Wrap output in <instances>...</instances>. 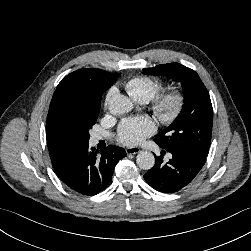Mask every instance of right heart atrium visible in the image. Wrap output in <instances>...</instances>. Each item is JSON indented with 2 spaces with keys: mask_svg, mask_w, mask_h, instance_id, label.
<instances>
[{
  "mask_svg": "<svg viewBox=\"0 0 251 251\" xmlns=\"http://www.w3.org/2000/svg\"><path fill=\"white\" fill-rule=\"evenodd\" d=\"M116 94V90L114 88H111L108 93L106 94L105 100H104V107L107 108L110 100L112 97Z\"/></svg>",
  "mask_w": 251,
  "mask_h": 251,
  "instance_id": "d8ad5b80",
  "label": "right heart atrium"
}]
</instances>
